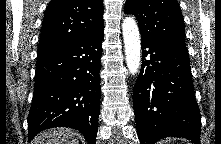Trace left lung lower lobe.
Wrapping results in <instances>:
<instances>
[{"label":"left lung lower lobe","mask_w":221,"mask_h":144,"mask_svg":"<svg viewBox=\"0 0 221 144\" xmlns=\"http://www.w3.org/2000/svg\"><path fill=\"white\" fill-rule=\"evenodd\" d=\"M141 38L142 66L133 90L140 143L171 136L200 144L201 116L187 49Z\"/></svg>","instance_id":"left-lung-lower-lobe-1"}]
</instances>
